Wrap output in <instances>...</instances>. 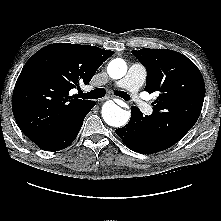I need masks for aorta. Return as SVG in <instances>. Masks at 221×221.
Wrapping results in <instances>:
<instances>
[{
	"mask_svg": "<svg viewBox=\"0 0 221 221\" xmlns=\"http://www.w3.org/2000/svg\"><path fill=\"white\" fill-rule=\"evenodd\" d=\"M107 73L112 79H121L127 73L126 62L121 58L111 60L107 67ZM102 117L109 126L122 127L128 122L130 112L110 100L102 107Z\"/></svg>",
	"mask_w": 221,
	"mask_h": 221,
	"instance_id": "aorta-1",
	"label": "aorta"
}]
</instances>
